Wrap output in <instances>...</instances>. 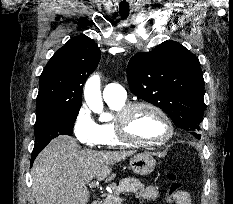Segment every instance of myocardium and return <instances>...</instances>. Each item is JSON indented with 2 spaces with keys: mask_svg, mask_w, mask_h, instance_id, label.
Masks as SVG:
<instances>
[{
  "mask_svg": "<svg viewBox=\"0 0 233 204\" xmlns=\"http://www.w3.org/2000/svg\"><path fill=\"white\" fill-rule=\"evenodd\" d=\"M146 108L155 112L167 126V134L164 138L156 141L142 140L133 137L129 132L131 118L138 109ZM116 131L121 141L127 145L135 146H160L169 142L175 133L174 125L168 114L158 105L147 101L132 102L124 106L116 116Z\"/></svg>",
  "mask_w": 233,
  "mask_h": 204,
  "instance_id": "1",
  "label": "myocardium"
}]
</instances>
